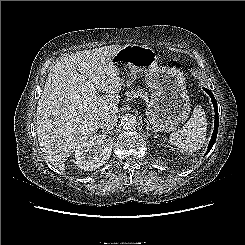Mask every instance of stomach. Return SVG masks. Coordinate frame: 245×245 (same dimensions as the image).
I'll return each instance as SVG.
<instances>
[{"label":"stomach","instance_id":"obj_1","mask_svg":"<svg viewBox=\"0 0 245 245\" xmlns=\"http://www.w3.org/2000/svg\"><path fill=\"white\" fill-rule=\"evenodd\" d=\"M123 86L132 85L137 74H144L154 90L146 116L155 132L171 131L183 122L191 109L182 73L174 68L158 67L156 52L144 45H125L112 58Z\"/></svg>","mask_w":245,"mask_h":245}]
</instances>
